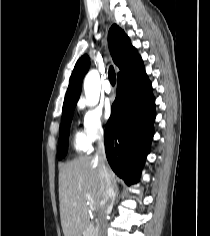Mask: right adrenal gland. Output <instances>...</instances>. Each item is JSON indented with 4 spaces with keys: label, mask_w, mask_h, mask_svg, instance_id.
<instances>
[{
    "label": "right adrenal gland",
    "mask_w": 210,
    "mask_h": 236,
    "mask_svg": "<svg viewBox=\"0 0 210 236\" xmlns=\"http://www.w3.org/2000/svg\"><path fill=\"white\" fill-rule=\"evenodd\" d=\"M115 192L118 195V187L117 186H115Z\"/></svg>",
    "instance_id": "1"
}]
</instances>
